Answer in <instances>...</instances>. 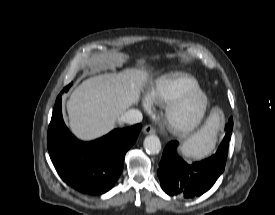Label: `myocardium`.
Segmentation results:
<instances>
[{
  "mask_svg": "<svg viewBox=\"0 0 275 215\" xmlns=\"http://www.w3.org/2000/svg\"><path fill=\"white\" fill-rule=\"evenodd\" d=\"M198 99V111L195 117L187 122L181 123L177 120V112L190 100ZM209 108V97L201 88H195L181 93L168 103L165 111V122L169 130L180 137L192 134L204 121Z\"/></svg>",
  "mask_w": 275,
  "mask_h": 215,
  "instance_id": "obj_1",
  "label": "myocardium"
}]
</instances>
